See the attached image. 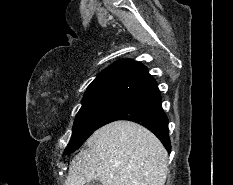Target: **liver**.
I'll return each instance as SVG.
<instances>
[{
    "mask_svg": "<svg viewBox=\"0 0 233 185\" xmlns=\"http://www.w3.org/2000/svg\"><path fill=\"white\" fill-rule=\"evenodd\" d=\"M86 145L70 162L64 185H84L95 179L101 185L165 184L167 151L153 133L137 123H109L96 130Z\"/></svg>",
    "mask_w": 233,
    "mask_h": 185,
    "instance_id": "liver-1",
    "label": "liver"
}]
</instances>
